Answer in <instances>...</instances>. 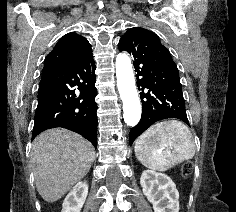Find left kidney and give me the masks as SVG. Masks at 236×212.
Here are the masks:
<instances>
[{"label": "left kidney", "mask_w": 236, "mask_h": 212, "mask_svg": "<svg viewBox=\"0 0 236 212\" xmlns=\"http://www.w3.org/2000/svg\"><path fill=\"white\" fill-rule=\"evenodd\" d=\"M140 184L154 212H179V193L170 177L152 170L143 171Z\"/></svg>", "instance_id": "1"}]
</instances>
